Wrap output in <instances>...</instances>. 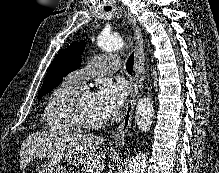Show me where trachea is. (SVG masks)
Returning <instances> with one entry per match:
<instances>
[{
	"mask_svg": "<svg viewBox=\"0 0 219 173\" xmlns=\"http://www.w3.org/2000/svg\"><path fill=\"white\" fill-rule=\"evenodd\" d=\"M104 9H105V11H110L111 7H105ZM133 67H134V53H132L127 60V63H126L127 72L132 73Z\"/></svg>",
	"mask_w": 219,
	"mask_h": 173,
	"instance_id": "1",
	"label": "trachea"
}]
</instances>
